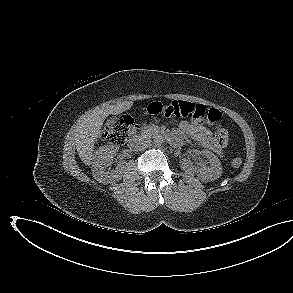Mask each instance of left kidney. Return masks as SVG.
Wrapping results in <instances>:
<instances>
[{"mask_svg": "<svg viewBox=\"0 0 293 293\" xmlns=\"http://www.w3.org/2000/svg\"><path fill=\"white\" fill-rule=\"evenodd\" d=\"M202 156L207 158L209 166L203 164L202 167H195L191 160L182 159L180 161L181 168L189 175L197 174L201 181H212L218 179L222 174V166L218 157L211 151L202 150L199 152Z\"/></svg>", "mask_w": 293, "mask_h": 293, "instance_id": "left-kidney-1", "label": "left kidney"}]
</instances>
